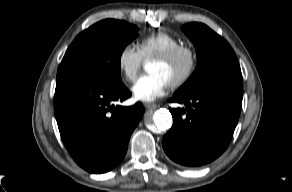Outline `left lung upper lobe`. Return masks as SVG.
<instances>
[{"label":"left lung upper lobe","instance_id":"obj_1","mask_svg":"<svg viewBox=\"0 0 292 192\" xmlns=\"http://www.w3.org/2000/svg\"><path fill=\"white\" fill-rule=\"evenodd\" d=\"M182 31L193 42L198 63L194 73L175 94L188 95L214 88L243 89L237 57L225 39L202 23L186 24Z\"/></svg>","mask_w":292,"mask_h":192}]
</instances>
